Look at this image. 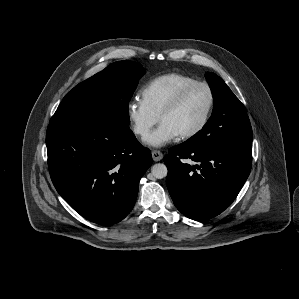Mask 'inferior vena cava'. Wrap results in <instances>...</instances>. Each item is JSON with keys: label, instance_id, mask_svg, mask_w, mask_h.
<instances>
[{"label": "inferior vena cava", "instance_id": "1", "mask_svg": "<svg viewBox=\"0 0 299 299\" xmlns=\"http://www.w3.org/2000/svg\"><path fill=\"white\" fill-rule=\"evenodd\" d=\"M136 132L141 133V132H143V130L142 129H136Z\"/></svg>", "mask_w": 299, "mask_h": 299}]
</instances>
